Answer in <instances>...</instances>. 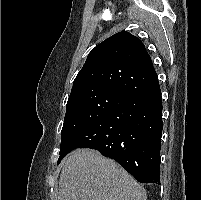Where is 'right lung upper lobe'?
<instances>
[{"label": "right lung upper lobe", "mask_w": 201, "mask_h": 200, "mask_svg": "<svg viewBox=\"0 0 201 200\" xmlns=\"http://www.w3.org/2000/svg\"><path fill=\"white\" fill-rule=\"evenodd\" d=\"M159 84L144 44L123 31L98 44L76 76L70 96L95 90H109L127 97Z\"/></svg>", "instance_id": "right-lung-upper-lobe-1"}]
</instances>
